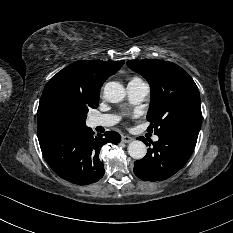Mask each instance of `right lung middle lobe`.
<instances>
[{"instance_id":"right-lung-middle-lobe-1","label":"right lung middle lobe","mask_w":233,"mask_h":233,"mask_svg":"<svg viewBox=\"0 0 233 233\" xmlns=\"http://www.w3.org/2000/svg\"><path fill=\"white\" fill-rule=\"evenodd\" d=\"M99 98L88 100L62 86L44 88L38 112L37 130L85 127L89 108L98 107Z\"/></svg>"}]
</instances>
